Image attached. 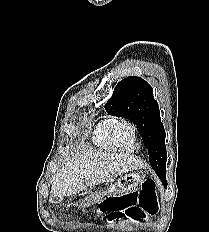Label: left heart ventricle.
<instances>
[{
	"mask_svg": "<svg viewBox=\"0 0 209 232\" xmlns=\"http://www.w3.org/2000/svg\"><path fill=\"white\" fill-rule=\"evenodd\" d=\"M117 136L121 143L128 149H133L135 143L133 141L132 131L130 128L121 126L117 129Z\"/></svg>",
	"mask_w": 209,
	"mask_h": 232,
	"instance_id": "b2bd125f",
	"label": "left heart ventricle"
}]
</instances>
